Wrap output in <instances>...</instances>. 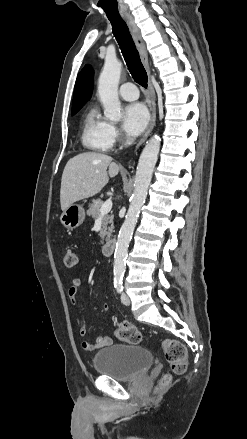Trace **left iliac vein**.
<instances>
[{"label":"left iliac vein","instance_id":"4c4485c4","mask_svg":"<svg viewBox=\"0 0 247 439\" xmlns=\"http://www.w3.org/2000/svg\"><path fill=\"white\" fill-rule=\"evenodd\" d=\"M121 302L124 304V305H130V298H129V296L127 295V294H125V293H122L121 294Z\"/></svg>","mask_w":247,"mask_h":439}]
</instances>
